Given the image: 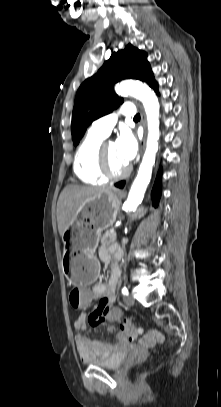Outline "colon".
<instances>
[{
  "label": "colon",
  "instance_id": "obj_1",
  "mask_svg": "<svg viewBox=\"0 0 221 407\" xmlns=\"http://www.w3.org/2000/svg\"><path fill=\"white\" fill-rule=\"evenodd\" d=\"M91 290V283H74V286H70L68 297L70 305L73 306L75 311H87L92 298ZM105 315L112 322H119L118 326L122 329L123 335L127 336L130 340H138L147 347H153L164 341L163 335L156 330L142 333L132 329V322L130 320H122L124 317L122 316V307L120 305H109Z\"/></svg>",
  "mask_w": 221,
  "mask_h": 407
}]
</instances>
